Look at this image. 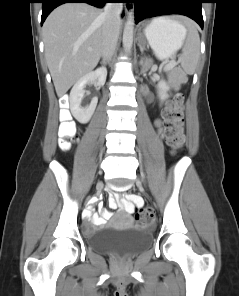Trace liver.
<instances>
[{"label": "liver", "mask_w": 239, "mask_h": 296, "mask_svg": "<svg viewBox=\"0 0 239 296\" xmlns=\"http://www.w3.org/2000/svg\"><path fill=\"white\" fill-rule=\"evenodd\" d=\"M102 14L86 3H66L44 22L45 58L59 97L97 66L102 55ZM121 25L120 21L119 29Z\"/></svg>", "instance_id": "1"}]
</instances>
